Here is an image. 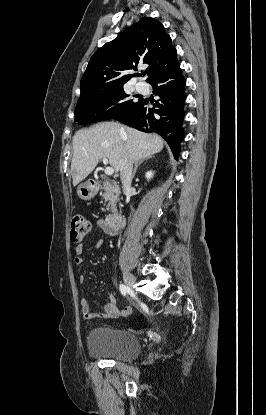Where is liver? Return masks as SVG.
Returning <instances> with one entry per match:
<instances>
[{"label":"liver","mask_w":266,"mask_h":415,"mask_svg":"<svg viewBox=\"0 0 266 415\" xmlns=\"http://www.w3.org/2000/svg\"><path fill=\"white\" fill-rule=\"evenodd\" d=\"M164 141L116 122H102L78 130L73 137L71 175L73 185L84 180L103 158L109 160L116 173L126 158L140 161L163 149Z\"/></svg>","instance_id":"6515ba94"}]
</instances>
